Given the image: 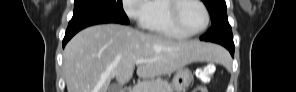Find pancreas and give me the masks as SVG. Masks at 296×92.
<instances>
[{"mask_svg": "<svg viewBox=\"0 0 296 92\" xmlns=\"http://www.w3.org/2000/svg\"><path fill=\"white\" fill-rule=\"evenodd\" d=\"M133 92H173V88L166 80L157 77L138 82Z\"/></svg>", "mask_w": 296, "mask_h": 92, "instance_id": "cf45deb5", "label": "pancreas"}]
</instances>
